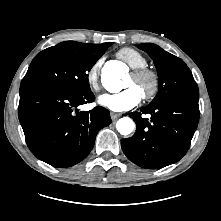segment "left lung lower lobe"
<instances>
[{"instance_id":"left-lung-lower-lobe-1","label":"left lung lower lobe","mask_w":221,"mask_h":221,"mask_svg":"<svg viewBox=\"0 0 221 221\" xmlns=\"http://www.w3.org/2000/svg\"><path fill=\"white\" fill-rule=\"evenodd\" d=\"M129 116L135 134L121 142L122 150L136 165L159 169L179 161L187 152L199 120L198 99L177 97L141 109Z\"/></svg>"}]
</instances>
